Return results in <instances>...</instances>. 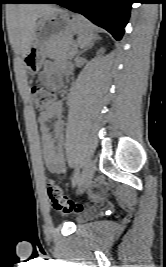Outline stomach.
I'll return each instance as SVG.
<instances>
[{"instance_id": "stomach-1", "label": "stomach", "mask_w": 166, "mask_h": 267, "mask_svg": "<svg viewBox=\"0 0 166 267\" xmlns=\"http://www.w3.org/2000/svg\"><path fill=\"white\" fill-rule=\"evenodd\" d=\"M82 19L62 9L39 19L31 45L24 54L25 67L31 76L36 75L41 69L52 43L77 33Z\"/></svg>"}]
</instances>
